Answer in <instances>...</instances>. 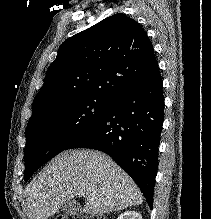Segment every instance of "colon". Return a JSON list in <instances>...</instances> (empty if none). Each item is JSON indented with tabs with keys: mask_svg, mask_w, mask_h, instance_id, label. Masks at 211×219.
<instances>
[{
	"mask_svg": "<svg viewBox=\"0 0 211 219\" xmlns=\"http://www.w3.org/2000/svg\"><path fill=\"white\" fill-rule=\"evenodd\" d=\"M55 219H105L103 216H98V215H89V216H83V217H73L69 215H62L58 216Z\"/></svg>",
	"mask_w": 211,
	"mask_h": 219,
	"instance_id": "1",
	"label": "colon"
}]
</instances>
